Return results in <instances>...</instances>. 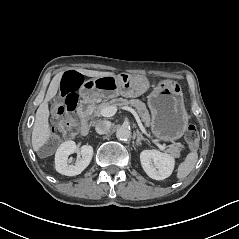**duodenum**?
<instances>
[{
    "mask_svg": "<svg viewBox=\"0 0 239 239\" xmlns=\"http://www.w3.org/2000/svg\"><path fill=\"white\" fill-rule=\"evenodd\" d=\"M92 112V104L90 100L83 99L78 106V114L81 120L80 134L86 136L90 130V117Z\"/></svg>",
    "mask_w": 239,
    "mask_h": 239,
    "instance_id": "1",
    "label": "duodenum"
}]
</instances>
